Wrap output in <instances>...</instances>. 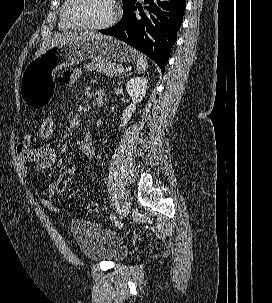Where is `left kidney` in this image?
<instances>
[{
	"mask_svg": "<svg viewBox=\"0 0 272 303\" xmlns=\"http://www.w3.org/2000/svg\"><path fill=\"white\" fill-rule=\"evenodd\" d=\"M148 79L146 77L131 78L126 84V91L130 96L132 103L124 110L121 118L120 128L127 125L136 110V104L139 103L146 94Z\"/></svg>",
	"mask_w": 272,
	"mask_h": 303,
	"instance_id": "1",
	"label": "left kidney"
}]
</instances>
